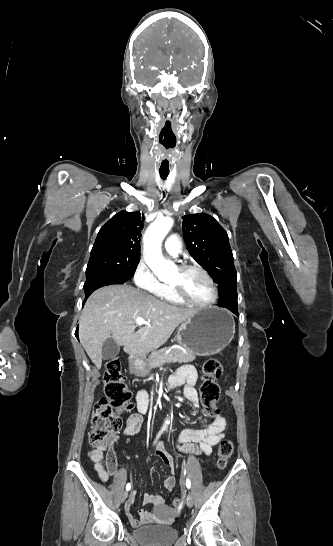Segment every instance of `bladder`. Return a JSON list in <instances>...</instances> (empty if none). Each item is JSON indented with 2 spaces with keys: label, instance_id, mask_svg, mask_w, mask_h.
<instances>
[{
  "label": "bladder",
  "instance_id": "obj_1",
  "mask_svg": "<svg viewBox=\"0 0 333 546\" xmlns=\"http://www.w3.org/2000/svg\"><path fill=\"white\" fill-rule=\"evenodd\" d=\"M132 534L143 546H170L178 538V530L175 527L160 524L136 527Z\"/></svg>",
  "mask_w": 333,
  "mask_h": 546
}]
</instances>
